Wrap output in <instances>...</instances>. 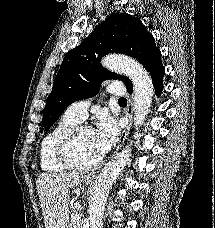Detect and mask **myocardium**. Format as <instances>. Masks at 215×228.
<instances>
[{
	"label": "myocardium",
	"instance_id": "1",
	"mask_svg": "<svg viewBox=\"0 0 215 228\" xmlns=\"http://www.w3.org/2000/svg\"><path fill=\"white\" fill-rule=\"evenodd\" d=\"M90 128L85 124L78 123L66 130L56 141L55 155L58 161L68 169L78 171H91L100 167L103 163V156L90 164L79 163L73 156L72 145L78 134L84 129Z\"/></svg>",
	"mask_w": 215,
	"mask_h": 228
}]
</instances>
